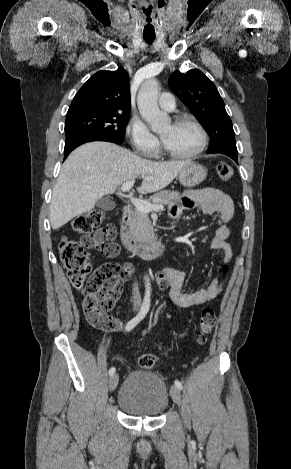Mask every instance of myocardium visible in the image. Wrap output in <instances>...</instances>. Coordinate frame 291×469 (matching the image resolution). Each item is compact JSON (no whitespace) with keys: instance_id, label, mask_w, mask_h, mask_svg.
<instances>
[{"instance_id":"1","label":"myocardium","mask_w":291,"mask_h":469,"mask_svg":"<svg viewBox=\"0 0 291 469\" xmlns=\"http://www.w3.org/2000/svg\"><path fill=\"white\" fill-rule=\"evenodd\" d=\"M182 123H189L197 130L200 140H199V144L196 147V149L193 150L192 152L186 153V154L175 153V152L171 151L170 149H168L166 147V145L164 144L163 140H162V151L164 152V154H166L167 156H169L173 159L189 160V159H193V158L197 157L198 155H200L204 151V149L207 145V142H208V136H207V132H206L205 128L193 116L188 115V114H183V115L177 116L173 121V124H182Z\"/></svg>"}]
</instances>
